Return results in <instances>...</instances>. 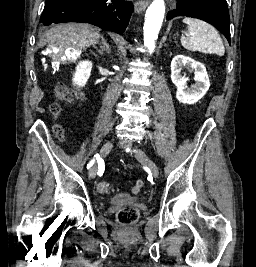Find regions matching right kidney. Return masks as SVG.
Instances as JSON below:
<instances>
[{
  "mask_svg": "<svg viewBox=\"0 0 256 267\" xmlns=\"http://www.w3.org/2000/svg\"><path fill=\"white\" fill-rule=\"evenodd\" d=\"M92 70V62L89 60H85V62H80L78 66H76V72L73 76L74 84L77 86H85L88 78H90V72Z\"/></svg>",
  "mask_w": 256,
  "mask_h": 267,
  "instance_id": "right-kidney-1",
  "label": "right kidney"
}]
</instances>
